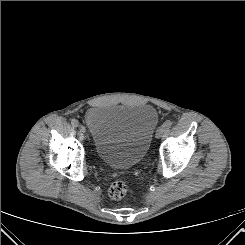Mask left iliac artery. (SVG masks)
Returning a JSON list of instances; mask_svg holds the SVG:
<instances>
[{"label":"left iliac artery","instance_id":"44dca946","mask_svg":"<svg viewBox=\"0 0 245 245\" xmlns=\"http://www.w3.org/2000/svg\"><path fill=\"white\" fill-rule=\"evenodd\" d=\"M173 122L171 120H166L164 123H163V127L165 129H169L171 126H172Z\"/></svg>","mask_w":245,"mask_h":245}]
</instances>
